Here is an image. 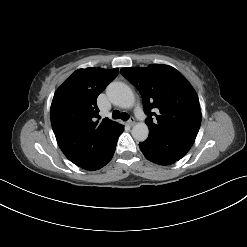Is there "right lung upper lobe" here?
<instances>
[{
    "mask_svg": "<svg viewBox=\"0 0 247 247\" xmlns=\"http://www.w3.org/2000/svg\"><path fill=\"white\" fill-rule=\"evenodd\" d=\"M118 72V68L78 69L54 94L50 109L51 125L59 147L73 163L88 154L94 139L117 124L108 118L97 120L99 109L96 100Z\"/></svg>",
    "mask_w": 247,
    "mask_h": 247,
    "instance_id": "1",
    "label": "right lung upper lobe"
}]
</instances>
